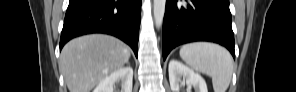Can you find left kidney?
I'll return each instance as SVG.
<instances>
[{
  "label": "left kidney",
  "instance_id": "5707ae66",
  "mask_svg": "<svg viewBox=\"0 0 296 92\" xmlns=\"http://www.w3.org/2000/svg\"><path fill=\"white\" fill-rule=\"evenodd\" d=\"M168 70L172 92H179L180 87L185 83L188 87L193 86L196 92H208L203 77L180 61L174 59L171 60L169 62Z\"/></svg>",
  "mask_w": 296,
  "mask_h": 92
}]
</instances>
